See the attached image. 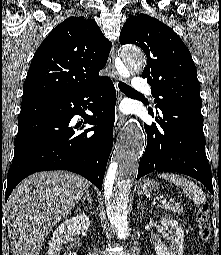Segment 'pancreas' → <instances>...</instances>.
Wrapping results in <instances>:
<instances>
[{
  "label": "pancreas",
  "instance_id": "1",
  "mask_svg": "<svg viewBox=\"0 0 221 255\" xmlns=\"http://www.w3.org/2000/svg\"><path fill=\"white\" fill-rule=\"evenodd\" d=\"M162 207L165 210H170V211L178 213V214L183 213V207H180L178 203H172V202L168 201L165 204H163Z\"/></svg>",
  "mask_w": 221,
  "mask_h": 255
}]
</instances>
